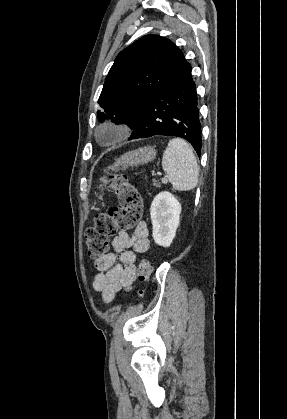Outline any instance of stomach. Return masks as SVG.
<instances>
[{
    "mask_svg": "<svg viewBox=\"0 0 287 419\" xmlns=\"http://www.w3.org/2000/svg\"><path fill=\"white\" fill-rule=\"evenodd\" d=\"M156 157V150L151 146H144L142 148L129 151L123 154L120 158L116 159L112 165V170L125 169L128 167H134L141 164L151 162ZM100 188L103 189L108 183L107 176H103L101 179Z\"/></svg>",
    "mask_w": 287,
    "mask_h": 419,
    "instance_id": "stomach-1",
    "label": "stomach"
}]
</instances>
